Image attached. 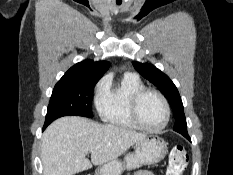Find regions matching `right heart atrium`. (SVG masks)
I'll list each match as a JSON object with an SVG mask.
<instances>
[{
	"mask_svg": "<svg viewBox=\"0 0 233 175\" xmlns=\"http://www.w3.org/2000/svg\"><path fill=\"white\" fill-rule=\"evenodd\" d=\"M106 81H107V79H104V80H101V81L97 84V89H98L99 91L104 87Z\"/></svg>",
	"mask_w": 233,
	"mask_h": 175,
	"instance_id": "1",
	"label": "right heart atrium"
}]
</instances>
